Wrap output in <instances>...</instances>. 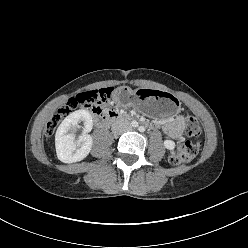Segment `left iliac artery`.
<instances>
[{"instance_id": "1", "label": "left iliac artery", "mask_w": 248, "mask_h": 248, "mask_svg": "<svg viewBox=\"0 0 248 248\" xmlns=\"http://www.w3.org/2000/svg\"><path fill=\"white\" fill-rule=\"evenodd\" d=\"M139 130H140V131H144V128H143V127H139Z\"/></svg>"}]
</instances>
